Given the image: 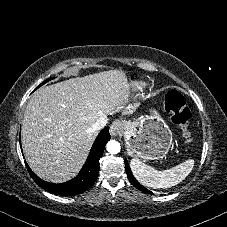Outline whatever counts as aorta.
<instances>
[{
	"label": "aorta",
	"mask_w": 227,
	"mask_h": 227,
	"mask_svg": "<svg viewBox=\"0 0 227 227\" xmlns=\"http://www.w3.org/2000/svg\"><path fill=\"white\" fill-rule=\"evenodd\" d=\"M107 151L110 154H117L120 152L121 146L118 141L110 140L106 145Z\"/></svg>",
	"instance_id": "762f6f07"
}]
</instances>
